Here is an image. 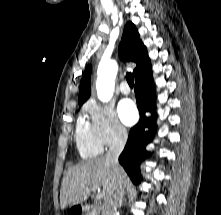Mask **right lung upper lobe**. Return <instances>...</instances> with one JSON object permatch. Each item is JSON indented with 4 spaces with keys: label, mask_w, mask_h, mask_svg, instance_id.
<instances>
[{
    "label": "right lung upper lobe",
    "mask_w": 221,
    "mask_h": 215,
    "mask_svg": "<svg viewBox=\"0 0 221 215\" xmlns=\"http://www.w3.org/2000/svg\"><path fill=\"white\" fill-rule=\"evenodd\" d=\"M119 56L123 61H133L137 64L134 69L135 80L151 73L149 57L146 47L140 40V35L132 22H127L122 41L119 46ZM92 71L89 65L82 76L80 82V93L78 103H84L90 97V74Z\"/></svg>",
    "instance_id": "obj_1"
}]
</instances>
